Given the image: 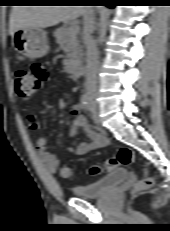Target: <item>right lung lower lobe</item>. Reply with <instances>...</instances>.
Masks as SVG:
<instances>
[{"mask_svg": "<svg viewBox=\"0 0 170 231\" xmlns=\"http://www.w3.org/2000/svg\"><path fill=\"white\" fill-rule=\"evenodd\" d=\"M106 6H108V7H113V6H110V5H106Z\"/></svg>", "mask_w": 170, "mask_h": 231, "instance_id": "98d812e1", "label": "right lung lower lobe"}]
</instances>
